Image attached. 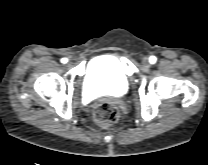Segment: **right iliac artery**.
I'll list each match as a JSON object with an SVG mask.
<instances>
[{
  "label": "right iliac artery",
  "instance_id": "82829eb1",
  "mask_svg": "<svg viewBox=\"0 0 208 165\" xmlns=\"http://www.w3.org/2000/svg\"><path fill=\"white\" fill-rule=\"evenodd\" d=\"M67 61H68L67 58H62V59H61V62L64 63V64H65Z\"/></svg>",
  "mask_w": 208,
  "mask_h": 165
}]
</instances>
